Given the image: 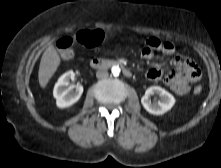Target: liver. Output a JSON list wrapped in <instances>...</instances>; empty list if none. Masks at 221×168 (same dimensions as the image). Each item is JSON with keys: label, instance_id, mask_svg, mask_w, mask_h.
I'll use <instances>...</instances> for the list:
<instances>
[{"label": "liver", "instance_id": "obj_1", "mask_svg": "<svg viewBox=\"0 0 221 168\" xmlns=\"http://www.w3.org/2000/svg\"><path fill=\"white\" fill-rule=\"evenodd\" d=\"M61 63L60 56L58 55L55 47L50 45L43 53L39 71L38 80L41 88H45L49 83L51 77L56 72Z\"/></svg>", "mask_w": 221, "mask_h": 168}]
</instances>
